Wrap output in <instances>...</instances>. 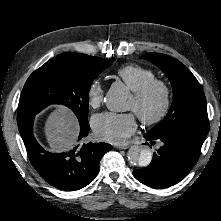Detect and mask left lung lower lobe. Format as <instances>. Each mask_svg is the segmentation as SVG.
Returning <instances> with one entry per match:
<instances>
[{"label": "left lung lower lobe", "mask_w": 221, "mask_h": 221, "mask_svg": "<svg viewBox=\"0 0 221 221\" xmlns=\"http://www.w3.org/2000/svg\"><path fill=\"white\" fill-rule=\"evenodd\" d=\"M144 138L161 140L163 145L153 154L151 163L134 170V177L152 188H166L181 181L196 164L203 143L184 136L155 137L145 134Z\"/></svg>", "instance_id": "left-lung-lower-lobe-1"}]
</instances>
